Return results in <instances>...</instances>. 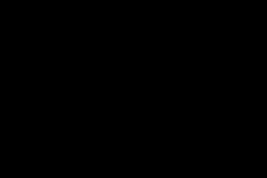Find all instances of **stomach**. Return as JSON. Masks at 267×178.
<instances>
[{"instance_id":"0dacf381","label":"stomach","mask_w":267,"mask_h":178,"mask_svg":"<svg viewBox=\"0 0 267 178\" xmlns=\"http://www.w3.org/2000/svg\"><path fill=\"white\" fill-rule=\"evenodd\" d=\"M147 38L151 39L160 49L167 50L170 48L173 35L167 28L154 26L148 32Z\"/></svg>"}]
</instances>
